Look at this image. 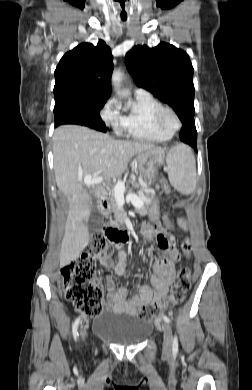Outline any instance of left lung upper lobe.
<instances>
[{
  "label": "left lung upper lobe",
  "mask_w": 252,
  "mask_h": 390,
  "mask_svg": "<svg viewBox=\"0 0 252 390\" xmlns=\"http://www.w3.org/2000/svg\"><path fill=\"white\" fill-rule=\"evenodd\" d=\"M125 59L138 87L170 105L182 122L194 120L193 66L186 52L161 42L135 46Z\"/></svg>",
  "instance_id": "5c2ea615"
}]
</instances>
